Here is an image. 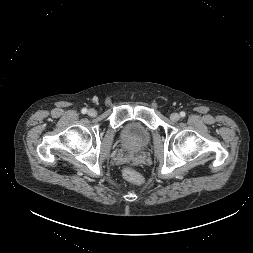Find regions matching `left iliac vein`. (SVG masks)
<instances>
[{
    "label": "left iliac vein",
    "mask_w": 253,
    "mask_h": 253,
    "mask_svg": "<svg viewBox=\"0 0 253 253\" xmlns=\"http://www.w3.org/2000/svg\"><path fill=\"white\" fill-rule=\"evenodd\" d=\"M170 119L174 122L178 121L180 119V115L178 113H172L170 115Z\"/></svg>",
    "instance_id": "left-iliac-vein-1"
}]
</instances>
